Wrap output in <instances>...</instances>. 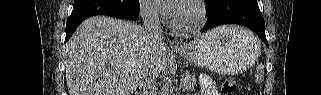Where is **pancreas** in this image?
<instances>
[{"instance_id":"obj_1","label":"pancreas","mask_w":321,"mask_h":95,"mask_svg":"<svg viewBox=\"0 0 321 95\" xmlns=\"http://www.w3.org/2000/svg\"><path fill=\"white\" fill-rule=\"evenodd\" d=\"M196 85V78L194 75L186 73L181 78V86L187 90L192 91Z\"/></svg>"}]
</instances>
